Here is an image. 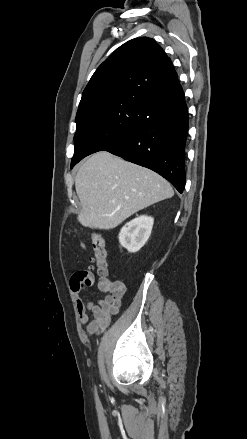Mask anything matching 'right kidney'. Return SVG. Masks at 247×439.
I'll use <instances>...</instances> for the list:
<instances>
[{
    "label": "right kidney",
    "mask_w": 247,
    "mask_h": 439,
    "mask_svg": "<svg viewBox=\"0 0 247 439\" xmlns=\"http://www.w3.org/2000/svg\"><path fill=\"white\" fill-rule=\"evenodd\" d=\"M154 219L150 216H140L126 223L120 231L121 246L131 253L138 252L150 237Z\"/></svg>",
    "instance_id": "obj_1"
}]
</instances>
